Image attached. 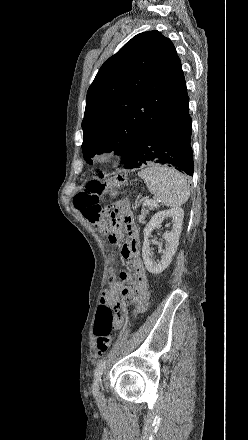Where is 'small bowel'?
Wrapping results in <instances>:
<instances>
[{"mask_svg": "<svg viewBox=\"0 0 248 440\" xmlns=\"http://www.w3.org/2000/svg\"><path fill=\"white\" fill-rule=\"evenodd\" d=\"M128 203H123L114 217L115 233L120 238L123 233L129 237V241L121 246V255L124 258L131 259V272H122L120 274L121 282L114 276L119 267V260L116 257L111 258L108 267L109 289L105 290L100 298V303H104L115 310L114 329H119L125 320L127 306L126 298L131 297L136 308L131 309L130 314L133 317L138 316L139 312L147 309L150 295L149 280L142 259L140 257L141 243L139 233L133 223L132 215L128 208ZM115 277V278H114ZM124 283L131 285L130 288L124 286ZM126 326H132V321H126Z\"/></svg>", "mask_w": 248, "mask_h": 440, "instance_id": "small-bowel-1", "label": "small bowel"}]
</instances>
